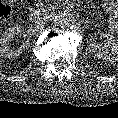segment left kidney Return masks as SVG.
Instances as JSON below:
<instances>
[{
    "label": "left kidney",
    "mask_w": 118,
    "mask_h": 118,
    "mask_svg": "<svg viewBox=\"0 0 118 118\" xmlns=\"http://www.w3.org/2000/svg\"><path fill=\"white\" fill-rule=\"evenodd\" d=\"M107 49L96 43V37L89 40V51L98 59L106 61H118V39L107 32L100 33Z\"/></svg>",
    "instance_id": "5707ae66"
}]
</instances>
